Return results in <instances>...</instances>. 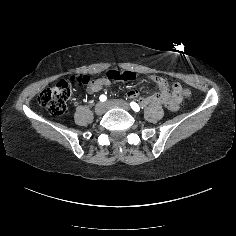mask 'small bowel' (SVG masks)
I'll return each mask as SVG.
<instances>
[{
    "label": "small bowel",
    "instance_id": "small-bowel-1",
    "mask_svg": "<svg viewBox=\"0 0 236 236\" xmlns=\"http://www.w3.org/2000/svg\"><path fill=\"white\" fill-rule=\"evenodd\" d=\"M152 80L155 83L159 84L160 86L165 85V81L160 77L153 76ZM109 83L110 82L105 78L97 79V80L93 81L90 85H88L87 91L90 92V93L98 92L103 87L109 85ZM137 95H138V92L136 90H131V91L128 92L129 97H136Z\"/></svg>",
    "mask_w": 236,
    "mask_h": 236
}]
</instances>
